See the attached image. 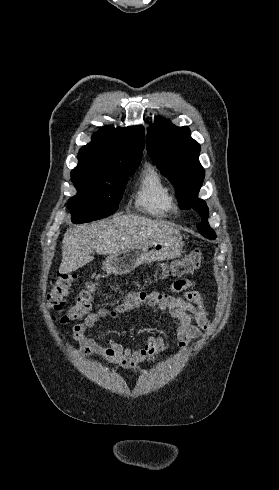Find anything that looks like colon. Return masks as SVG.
I'll return each mask as SVG.
<instances>
[{
	"instance_id": "5ec220e1",
	"label": "colon",
	"mask_w": 279,
	"mask_h": 490,
	"mask_svg": "<svg viewBox=\"0 0 279 490\" xmlns=\"http://www.w3.org/2000/svg\"><path fill=\"white\" fill-rule=\"evenodd\" d=\"M201 260V251L194 250L188 253L183 259L175 260L164 266L167 269L168 276L181 278L192 273L200 265ZM75 281L76 276L74 273L64 272L52 280L48 289L47 306L50 310L59 314V317L55 318V320H58L61 323L80 321L89 315L91 311L97 285L95 282L87 283L76 296L75 302L68 309L63 310L69 288Z\"/></svg>"
}]
</instances>
